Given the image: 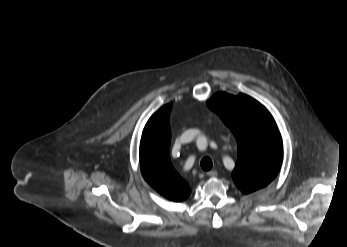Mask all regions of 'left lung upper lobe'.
Listing matches in <instances>:
<instances>
[{"label": "left lung upper lobe", "mask_w": 347, "mask_h": 247, "mask_svg": "<svg viewBox=\"0 0 347 247\" xmlns=\"http://www.w3.org/2000/svg\"><path fill=\"white\" fill-rule=\"evenodd\" d=\"M207 106L219 115L234 134L238 159L232 177L245 194L267 186L278 174L283 142L270 112L245 94L216 93Z\"/></svg>", "instance_id": "left-lung-upper-lobe-1"}]
</instances>
